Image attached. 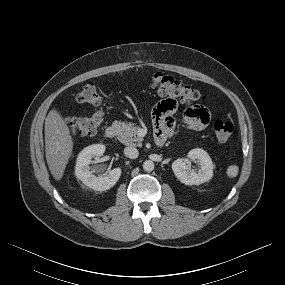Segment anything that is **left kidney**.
Returning a JSON list of instances; mask_svg holds the SVG:
<instances>
[{"instance_id":"left-kidney-1","label":"left kidney","mask_w":285,"mask_h":285,"mask_svg":"<svg viewBox=\"0 0 285 285\" xmlns=\"http://www.w3.org/2000/svg\"><path fill=\"white\" fill-rule=\"evenodd\" d=\"M187 157L191 160H197L200 169L197 172L188 171L187 162L182 158H178L172 163V170L180 182L185 185H199L212 178L214 165L205 150L200 148L192 149Z\"/></svg>"}]
</instances>
